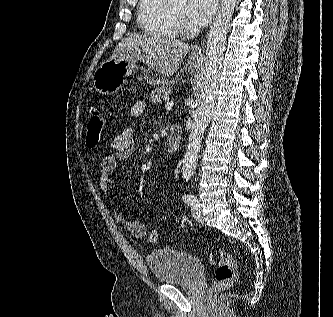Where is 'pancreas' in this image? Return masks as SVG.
Instances as JSON below:
<instances>
[{
  "mask_svg": "<svg viewBox=\"0 0 333 317\" xmlns=\"http://www.w3.org/2000/svg\"><path fill=\"white\" fill-rule=\"evenodd\" d=\"M170 91L171 88L168 85L158 86L151 91L149 99L153 104L161 103L162 99L169 96Z\"/></svg>",
  "mask_w": 333,
  "mask_h": 317,
  "instance_id": "pancreas-1",
  "label": "pancreas"
}]
</instances>
